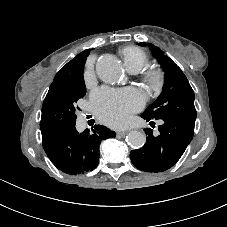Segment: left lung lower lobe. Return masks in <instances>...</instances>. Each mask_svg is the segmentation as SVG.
<instances>
[{
    "label": "left lung lower lobe",
    "mask_w": 227,
    "mask_h": 227,
    "mask_svg": "<svg viewBox=\"0 0 227 227\" xmlns=\"http://www.w3.org/2000/svg\"><path fill=\"white\" fill-rule=\"evenodd\" d=\"M141 117L146 121L155 119L143 114ZM158 119L163 122L159 126V134L155 135L151 128H146L148 137L145 145L130 153L134 166L143 171L162 172L171 168L180 159L194 135V120L179 116L156 118Z\"/></svg>",
    "instance_id": "obj_1"
}]
</instances>
